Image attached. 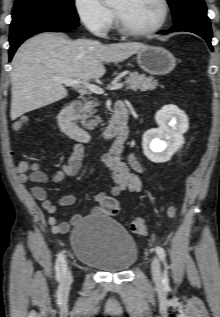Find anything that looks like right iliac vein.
<instances>
[{
  "label": "right iliac vein",
  "mask_w": 220,
  "mask_h": 317,
  "mask_svg": "<svg viewBox=\"0 0 220 317\" xmlns=\"http://www.w3.org/2000/svg\"><path fill=\"white\" fill-rule=\"evenodd\" d=\"M72 282V273L69 267L66 268L64 279H63V288L68 289Z\"/></svg>",
  "instance_id": "right-iliac-vein-1"
}]
</instances>
